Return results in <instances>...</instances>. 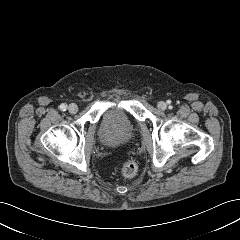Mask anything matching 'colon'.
I'll list each match as a JSON object with an SVG mask.
<instances>
[{
  "label": "colon",
  "mask_w": 240,
  "mask_h": 240,
  "mask_svg": "<svg viewBox=\"0 0 240 240\" xmlns=\"http://www.w3.org/2000/svg\"><path fill=\"white\" fill-rule=\"evenodd\" d=\"M137 165L134 161H124L119 167V174L126 179L132 178L137 173Z\"/></svg>",
  "instance_id": "obj_1"
}]
</instances>
